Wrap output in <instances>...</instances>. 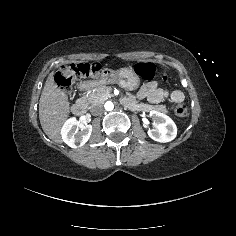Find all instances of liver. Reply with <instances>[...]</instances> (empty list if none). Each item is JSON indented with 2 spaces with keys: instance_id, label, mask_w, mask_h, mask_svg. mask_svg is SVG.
<instances>
[{
  "instance_id": "liver-1",
  "label": "liver",
  "mask_w": 236,
  "mask_h": 236,
  "mask_svg": "<svg viewBox=\"0 0 236 236\" xmlns=\"http://www.w3.org/2000/svg\"><path fill=\"white\" fill-rule=\"evenodd\" d=\"M50 72L39 101V119L44 133L56 143L63 144L62 129L71 114V103L64 89L54 80Z\"/></svg>"
}]
</instances>
